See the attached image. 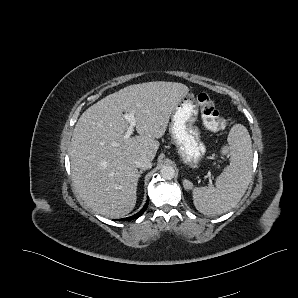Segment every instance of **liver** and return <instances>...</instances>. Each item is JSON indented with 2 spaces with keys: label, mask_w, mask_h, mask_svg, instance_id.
I'll return each mask as SVG.
<instances>
[{
  "label": "liver",
  "mask_w": 298,
  "mask_h": 298,
  "mask_svg": "<svg viewBox=\"0 0 298 298\" xmlns=\"http://www.w3.org/2000/svg\"><path fill=\"white\" fill-rule=\"evenodd\" d=\"M189 92L182 82L149 81L128 85L85 110L71 139V175L85 204L98 214L119 218L136 204V159L153 160L174 107ZM135 110L139 135L123 140L129 129L123 111ZM120 143L114 146L113 143Z\"/></svg>",
  "instance_id": "6515ba94"
}]
</instances>
